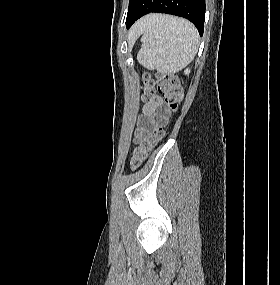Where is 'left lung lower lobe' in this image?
I'll return each mask as SVG.
<instances>
[{"label":"left lung lower lobe","mask_w":280,"mask_h":285,"mask_svg":"<svg viewBox=\"0 0 280 285\" xmlns=\"http://www.w3.org/2000/svg\"><path fill=\"white\" fill-rule=\"evenodd\" d=\"M150 12L168 13L190 20L200 36L204 31L205 0H136L126 23L129 28L137 19Z\"/></svg>","instance_id":"obj_1"}]
</instances>
